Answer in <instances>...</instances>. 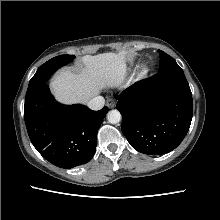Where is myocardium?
I'll return each mask as SVG.
<instances>
[{
    "label": "myocardium",
    "mask_w": 220,
    "mask_h": 220,
    "mask_svg": "<svg viewBox=\"0 0 220 220\" xmlns=\"http://www.w3.org/2000/svg\"><path fill=\"white\" fill-rule=\"evenodd\" d=\"M148 72H149L148 67L146 66L141 67L138 72V78L144 79L147 76Z\"/></svg>",
    "instance_id": "f54148a6"
}]
</instances>
